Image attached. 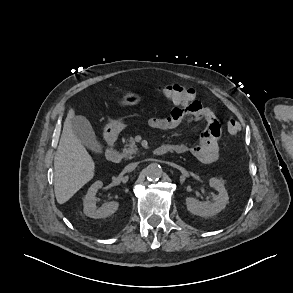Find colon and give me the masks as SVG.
<instances>
[{
	"mask_svg": "<svg viewBox=\"0 0 293 293\" xmlns=\"http://www.w3.org/2000/svg\"><path fill=\"white\" fill-rule=\"evenodd\" d=\"M154 88L167 99L185 108H190L196 101L193 90L180 84L156 85ZM227 129L230 134H237L240 124L235 119H229Z\"/></svg>",
	"mask_w": 293,
	"mask_h": 293,
	"instance_id": "colon-1",
	"label": "colon"
}]
</instances>
